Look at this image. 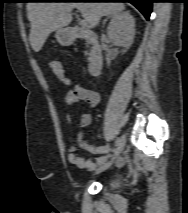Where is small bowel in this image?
I'll return each mask as SVG.
<instances>
[{
    "mask_svg": "<svg viewBox=\"0 0 188 213\" xmlns=\"http://www.w3.org/2000/svg\"><path fill=\"white\" fill-rule=\"evenodd\" d=\"M100 101L101 97L97 91L82 85L75 86L68 90L64 96V102L68 110L75 109L81 102H86L91 107H96ZM69 119L70 115L68 114L67 121H69ZM91 121L92 117L90 113H82L80 115V125L82 129L78 132L75 143L69 145L68 161L70 164L81 169H94L98 161H101L100 164H106V155L110 152V146L108 144L96 146L89 143L85 129L91 124ZM78 150H86L96 155V157L88 159L82 158L76 153ZM122 163V159H119L116 164L117 166H121Z\"/></svg>",
    "mask_w": 188,
    "mask_h": 213,
    "instance_id": "c3829d8e",
    "label": "small bowel"
}]
</instances>
